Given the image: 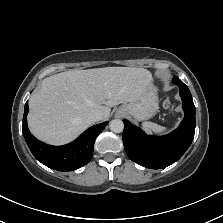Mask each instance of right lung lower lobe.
<instances>
[{"instance_id": "obj_1", "label": "right lung lower lobe", "mask_w": 223, "mask_h": 223, "mask_svg": "<svg viewBox=\"0 0 223 223\" xmlns=\"http://www.w3.org/2000/svg\"><path fill=\"white\" fill-rule=\"evenodd\" d=\"M28 102L23 116V135L35 158L45 166L59 170L72 171L86 165L92 158L94 142L107 125H95L82 133L74 142L64 146H50L37 140L27 126Z\"/></svg>"}]
</instances>
